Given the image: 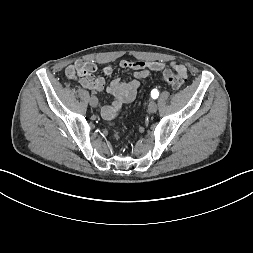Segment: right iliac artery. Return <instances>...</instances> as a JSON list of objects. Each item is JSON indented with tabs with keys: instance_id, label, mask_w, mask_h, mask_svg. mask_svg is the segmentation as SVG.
Returning a JSON list of instances; mask_svg holds the SVG:
<instances>
[{
	"instance_id": "1",
	"label": "right iliac artery",
	"mask_w": 253,
	"mask_h": 253,
	"mask_svg": "<svg viewBox=\"0 0 253 253\" xmlns=\"http://www.w3.org/2000/svg\"><path fill=\"white\" fill-rule=\"evenodd\" d=\"M91 94H92V96H93V95H95V94H96V92H95V91H92V92H91Z\"/></svg>"
}]
</instances>
